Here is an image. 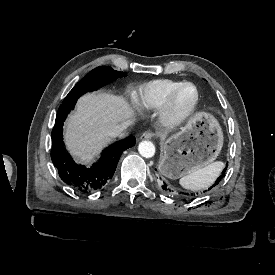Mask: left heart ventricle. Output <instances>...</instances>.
<instances>
[{"label":"left heart ventricle","instance_id":"obj_1","mask_svg":"<svg viewBox=\"0 0 275 275\" xmlns=\"http://www.w3.org/2000/svg\"><path fill=\"white\" fill-rule=\"evenodd\" d=\"M194 91L191 87H184L180 90L177 98V105L179 108L186 107L193 99Z\"/></svg>","mask_w":275,"mask_h":275}]
</instances>
